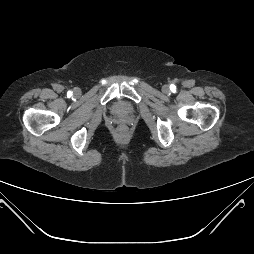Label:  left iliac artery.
<instances>
[{
	"label": "left iliac artery",
	"instance_id": "44dca946",
	"mask_svg": "<svg viewBox=\"0 0 254 254\" xmlns=\"http://www.w3.org/2000/svg\"><path fill=\"white\" fill-rule=\"evenodd\" d=\"M175 88H176L175 85H171V86H170V90H171V91H174Z\"/></svg>",
	"mask_w": 254,
	"mask_h": 254
}]
</instances>
